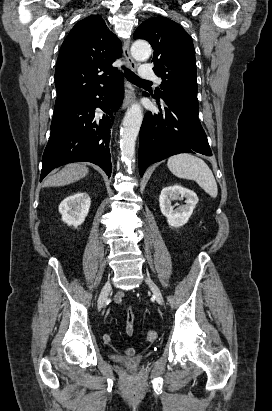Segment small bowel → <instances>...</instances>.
Returning <instances> with one entry per match:
<instances>
[{
	"instance_id": "small-bowel-1",
	"label": "small bowel",
	"mask_w": 272,
	"mask_h": 411,
	"mask_svg": "<svg viewBox=\"0 0 272 411\" xmlns=\"http://www.w3.org/2000/svg\"><path fill=\"white\" fill-rule=\"evenodd\" d=\"M114 300H115V303L121 305L125 310V313H126V325H125L126 334L128 336H133L134 332H135V329H134L135 313H134L132 307L125 302L124 293H122V292L117 293ZM103 339L106 343H109L111 341V337L108 334H105L103 336ZM124 353L126 355H133L134 354V349L133 348H126L124 350Z\"/></svg>"
}]
</instances>
